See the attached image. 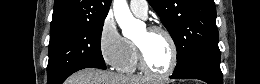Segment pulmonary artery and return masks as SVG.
<instances>
[{
  "label": "pulmonary artery",
  "mask_w": 260,
  "mask_h": 84,
  "mask_svg": "<svg viewBox=\"0 0 260 84\" xmlns=\"http://www.w3.org/2000/svg\"><path fill=\"white\" fill-rule=\"evenodd\" d=\"M131 11L138 17L145 19L148 13V3L147 1H131L130 4Z\"/></svg>",
  "instance_id": "e3ab8cb5"
}]
</instances>
